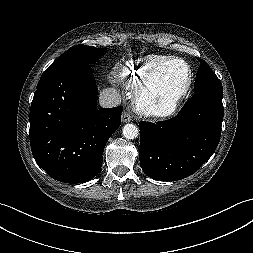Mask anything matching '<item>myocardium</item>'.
Masks as SVG:
<instances>
[{"label": "myocardium", "instance_id": "obj_1", "mask_svg": "<svg viewBox=\"0 0 253 253\" xmlns=\"http://www.w3.org/2000/svg\"><path fill=\"white\" fill-rule=\"evenodd\" d=\"M172 62H179L186 66L188 71V77L185 86L182 90H180L175 95L168 98V103L165 108L159 107L154 103V100L152 97H149V92L151 88V84L153 82V79L157 75V73L167 64H170ZM193 69L192 66L184 59L178 58V57H170L162 62L158 63L156 66H154L144 77L141 84L135 91V106L136 109L149 117L154 118H168L172 115H174L177 110L179 109V106L183 102V100L188 95L192 83H193Z\"/></svg>", "mask_w": 253, "mask_h": 253}]
</instances>
